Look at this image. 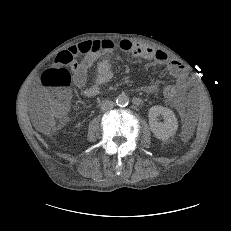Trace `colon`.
I'll return each mask as SVG.
<instances>
[{
  "instance_id": "obj_1",
  "label": "colon",
  "mask_w": 231,
  "mask_h": 231,
  "mask_svg": "<svg viewBox=\"0 0 231 231\" xmlns=\"http://www.w3.org/2000/svg\"><path fill=\"white\" fill-rule=\"evenodd\" d=\"M63 54L56 58V63L61 64ZM45 88L44 94L48 103L45 110V119L50 126L60 125L70 104L71 74L64 68L46 70L41 77ZM162 90L168 100L175 99L179 94L178 87L170 81L163 84Z\"/></svg>"
}]
</instances>
